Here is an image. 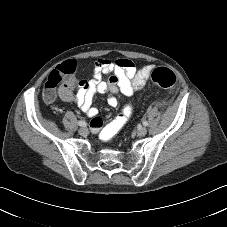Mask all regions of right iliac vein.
<instances>
[{"instance_id": "right-iliac-vein-1", "label": "right iliac vein", "mask_w": 227, "mask_h": 227, "mask_svg": "<svg viewBox=\"0 0 227 227\" xmlns=\"http://www.w3.org/2000/svg\"><path fill=\"white\" fill-rule=\"evenodd\" d=\"M79 134L82 135V136H85L87 135L88 133V129L86 127H81L79 130H78Z\"/></svg>"}]
</instances>
